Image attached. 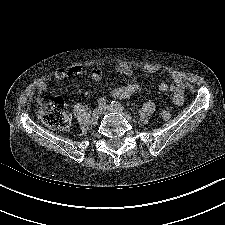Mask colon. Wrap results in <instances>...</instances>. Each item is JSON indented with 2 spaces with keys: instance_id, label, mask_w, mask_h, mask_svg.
Returning a JSON list of instances; mask_svg holds the SVG:
<instances>
[{
  "instance_id": "5ec220e1",
  "label": "colon",
  "mask_w": 225,
  "mask_h": 225,
  "mask_svg": "<svg viewBox=\"0 0 225 225\" xmlns=\"http://www.w3.org/2000/svg\"><path fill=\"white\" fill-rule=\"evenodd\" d=\"M39 116L47 126L55 130H65L70 124V117L62 99H57L53 104L41 109ZM169 118V109H164L162 111V119L168 120Z\"/></svg>"
}]
</instances>
